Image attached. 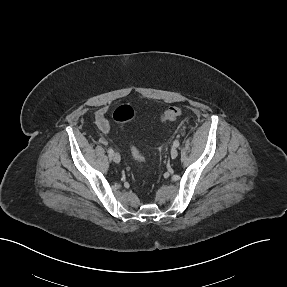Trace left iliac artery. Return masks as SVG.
Returning a JSON list of instances; mask_svg holds the SVG:
<instances>
[{"instance_id":"left-iliac-artery-1","label":"left iliac artery","mask_w":287,"mask_h":287,"mask_svg":"<svg viewBox=\"0 0 287 287\" xmlns=\"http://www.w3.org/2000/svg\"><path fill=\"white\" fill-rule=\"evenodd\" d=\"M173 146L179 147V141H178V140H175V141L173 142Z\"/></svg>"}]
</instances>
